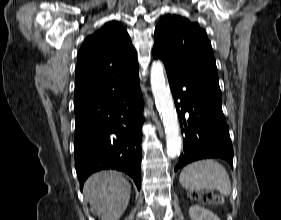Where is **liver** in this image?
Segmentation results:
<instances>
[{"label": "liver", "instance_id": "6515ba94", "mask_svg": "<svg viewBox=\"0 0 281 220\" xmlns=\"http://www.w3.org/2000/svg\"><path fill=\"white\" fill-rule=\"evenodd\" d=\"M83 191L101 220H119L126 210L131 185L118 171H100L91 175Z\"/></svg>", "mask_w": 281, "mask_h": 220}]
</instances>
